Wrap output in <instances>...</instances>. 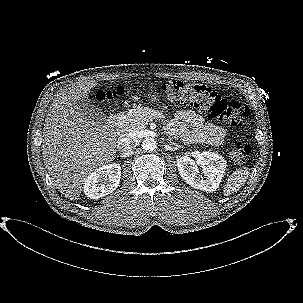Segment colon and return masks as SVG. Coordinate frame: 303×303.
Segmentation results:
<instances>
[{
    "mask_svg": "<svg viewBox=\"0 0 303 303\" xmlns=\"http://www.w3.org/2000/svg\"><path fill=\"white\" fill-rule=\"evenodd\" d=\"M161 95L173 105L193 106L205 113L208 118L232 128L242 126L249 114L248 107L237 100H226L205 84L169 80L160 88ZM101 101H114V90H100L96 94ZM251 152V145L243 137H238L231 149L230 156L236 164H242Z\"/></svg>",
    "mask_w": 303,
    "mask_h": 303,
    "instance_id": "colon-1",
    "label": "colon"
}]
</instances>
